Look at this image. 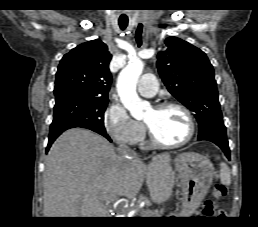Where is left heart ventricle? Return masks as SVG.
Returning a JSON list of instances; mask_svg holds the SVG:
<instances>
[{"label": "left heart ventricle", "instance_id": "1", "mask_svg": "<svg viewBox=\"0 0 258 227\" xmlns=\"http://www.w3.org/2000/svg\"><path fill=\"white\" fill-rule=\"evenodd\" d=\"M156 136L163 142L176 143L183 140L189 131L185 114L177 108L155 110L151 108L143 118Z\"/></svg>", "mask_w": 258, "mask_h": 227}]
</instances>
